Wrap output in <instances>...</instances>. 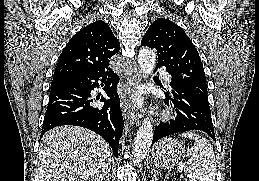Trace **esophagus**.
Here are the masks:
<instances>
[{
	"instance_id": "esophagus-1",
	"label": "esophagus",
	"mask_w": 259,
	"mask_h": 181,
	"mask_svg": "<svg viewBox=\"0 0 259 181\" xmlns=\"http://www.w3.org/2000/svg\"><path fill=\"white\" fill-rule=\"evenodd\" d=\"M127 74L128 86L125 89L123 96V112L125 118L129 120L132 125H138L140 122L141 114L133 110L129 98L134 88L141 82V73L137 65L133 62L131 63Z\"/></svg>"
}]
</instances>
